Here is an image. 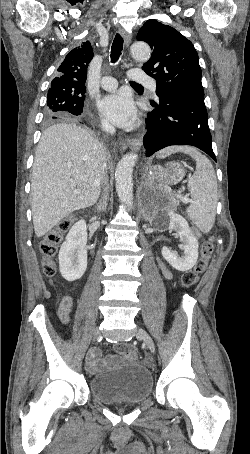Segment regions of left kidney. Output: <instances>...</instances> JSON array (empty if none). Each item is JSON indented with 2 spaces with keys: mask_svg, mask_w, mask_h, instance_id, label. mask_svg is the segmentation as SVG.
Segmentation results:
<instances>
[{
  "mask_svg": "<svg viewBox=\"0 0 250 454\" xmlns=\"http://www.w3.org/2000/svg\"><path fill=\"white\" fill-rule=\"evenodd\" d=\"M169 217L168 228L174 230L183 243L184 253L180 257L167 247L161 250L164 259L178 271H188L197 262L198 259V240L196 235L191 231L188 222L179 214L168 210Z\"/></svg>",
  "mask_w": 250,
  "mask_h": 454,
  "instance_id": "5707ae66",
  "label": "left kidney"
}]
</instances>
